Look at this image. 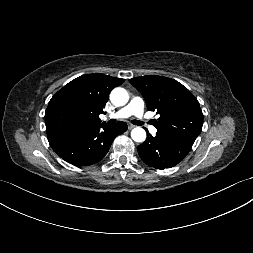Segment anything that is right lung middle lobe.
<instances>
[{
	"mask_svg": "<svg viewBox=\"0 0 253 253\" xmlns=\"http://www.w3.org/2000/svg\"><path fill=\"white\" fill-rule=\"evenodd\" d=\"M48 140L83 130L79 115L72 109L56 107L45 113Z\"/></svg>",
	"mask_w": 253,
	"mask_h": 253,
	"instance_id": "dd1d6c3e",
	"label": "right lung middle lobe"
}]
</instances>
